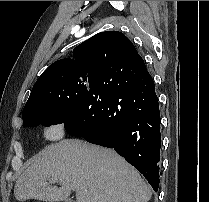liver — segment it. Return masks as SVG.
<instances>
[{"label":"liver","mask_w":209,"mask_h":202,"mask_svg":"<svg viewBox=\"0 0 209 202\" xmlns=\"http://www.w3.org/2000/svg\"><path fill=\"white\" fill-rule=\"evenodd\" d=\"M56 178L60 187L47 182ZM75 191L76 202H148L151 188L113 150L78 139L51 144L36 155L17 179L18 201H65Z\"/></svg>","instance_id":"obj_1"}]
</instances>
